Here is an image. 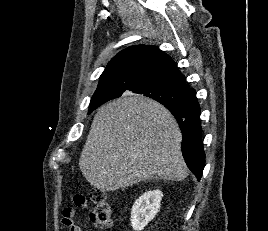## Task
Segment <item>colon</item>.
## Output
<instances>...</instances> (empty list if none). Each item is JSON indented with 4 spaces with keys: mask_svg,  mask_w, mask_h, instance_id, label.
I'll list each match as a JSON object with an SVG mask.
<instances>
[{
    "mask_svg": "<svg viewBox=\"0 0 268 231\" xmlns=\"http://www.w3.org/2000/svg\"><path fill=\"white\" fill-rule=\"evenodd\" d=\"M90 198L94 204L90 212L91 221L101 228L111 225L112 208L106 194L101 189H92Z\"/></svg>",
    "mask_w": 268,
    "mask_h": 231,
    "instance_id": "obj_1",
    "label": "colon"
}]
</instances>
